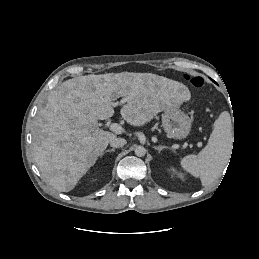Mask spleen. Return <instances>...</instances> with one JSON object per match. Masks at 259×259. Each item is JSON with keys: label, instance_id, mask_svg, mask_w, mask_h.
I'll use <instances>...</instances> for the list:
<instances>
[{"label": "spleen", "instance_id": "1", "mask_svg": "<svg viewBox=\"0 0 259 259\" xmlns=\"http://www.w3.org/2000/svg\"><path fill=\"white\" fill-rule=\"evenodd\" d=\"M214 128L207 145L198 155H187L181 166L207 186L216 181L230 159L233 145L231 116L223 111L214 122Z\"/></svg>", "mask_w": 259, "mask_h": 259}]
</instances>
